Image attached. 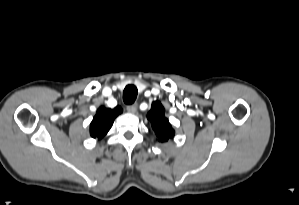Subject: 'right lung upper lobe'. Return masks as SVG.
Returning a JSON list of instances; mask_svg holds the SVG:
<instances>
[{
    "instance_id": "right-lung-upper-lobe-1",
    "label": "right lung upper lobe",
    "mask_w": 299,
    "mask_h": 205,
    "mask_svg": "<svg viewBox=\"0 0 299 205\" xmlns=\"http://www.w3.org/2000/svg\"><path fill=\"white\" fill-rule=\"evenodd\" d=\"M121 112L122 109L120 107H116L113 110L100 107L90 124L91 137L98 139L103 138L110 130L116 116Z\"/></svg>"
}]
</instances>
